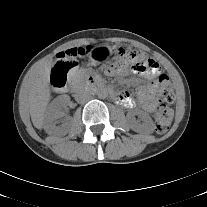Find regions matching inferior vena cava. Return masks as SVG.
Returning a JSON list of instances; mask_svg holds the SVG:
<instances>
[{"mask_svg": "<svg viewBox=\"0 0 207 207\" xmlns=\"http://www.w3.org/2000/svg\"><path fill=\"white\" fill-rule=\"evenodd\" d=\"M91 98V96L90 95H87V94H80V96L78 97V102H80V103H85V102H87L89 99Z\"/></svg>", "mask_w": 207, "mask_h": 207, "instance_id": "1", "label": "inferior vena cava"}]
</instances>
